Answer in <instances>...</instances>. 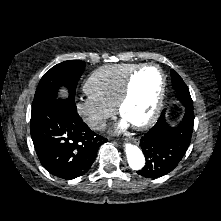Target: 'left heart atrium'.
<instances>
[{"label":"left heart atrium","mask_w":221,"mask_h":221,"mask_svg":"<svg viewBox=\"0 0 221 221\" xmlns=\"http://www.w3.org/2000/svg\"><path fill=\"white\" fill-rule=\"evenodd\" d=\"M130 124L131 123L129 121H127L125 118H122V120L120 121L118 125V129L119 130L126 129Z\"/></svg>","instance_id":"obj_1"}]
</instances>
